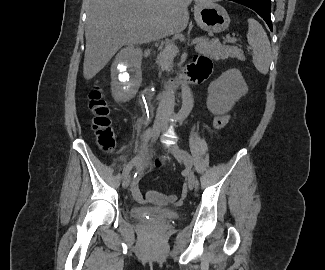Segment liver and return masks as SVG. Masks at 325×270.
I'll use <instances>...</instances> for the list:
<instances>
[{"mask_svg": "<svg viewBox=\"0 0 325 270\" xmlns=\"http://www.w3.org/2000/svg\"><path fill=\"white\" fill-rule=\"evenodd\" d=\"M188 6V0H88L84 78L92 79L123 46L182 32L189 22ZM132 53L141 56L139 49Z\"/></svg>", "mask_w": 325, "mask_h": 270, "instance_id": "1", "label": "liver"}]
</instances>
